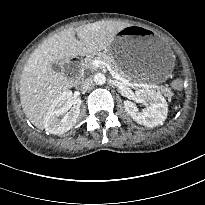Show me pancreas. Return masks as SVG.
Returning <instances> with one entry per match:
<instances>
[{
    "mask_svg": "<svg viewBox=\"0 0 205 205\" xmlns=\"http://www.w3.org/2000/svg\"><path fill=\"white\" fill-rule=\"evenodd\" d=\"M95 59H98L100 61H103L105 62L106 64H108L110 66V68L112 69V71L115 73V74H118L120 77L128 80V81H131L132 79L127 75L125 74L117 65V63L114 61V59L109 56L108 54H105V53H98L96 55H90L88 56L85 60H84V67L86 68H89L91 70H95L96 67L93 66V61Z\"/></svg>",
    "mask_w": 205,
    "mask_h": 205,
    "instance_id": "1",
    "label": "pancreas"
}]
</instances>
